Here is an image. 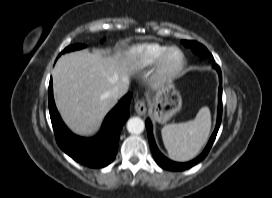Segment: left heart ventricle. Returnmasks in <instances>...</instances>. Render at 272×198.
Segmentation results:
<instances>
[{"label":"left heart ventricle","mask_w":272,"mask_h":198,"mask_svg":"<svg viewBox=\"0 0 272 198\" xmlns=\"http://www.w3.org/2000/svg\"><path fill=\"white\" fill-rule=\"evenodd\" d=\"M180 62V54L179 52H173L168 59V67L169 68H174L178 65Z\"/></svg>","instance_id":"1"}]
</instances>
